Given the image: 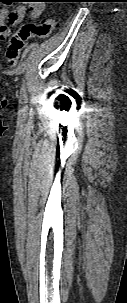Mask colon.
<instances>
[{
  "label": "colon",
  "instance_id": "colon-1",
  "mask_svg": "<svg viewBox=\"0 0 127 303\" xmlns=\"http://www.w3.org/2000/svg\"><path fill=\"white\" fill-rule=\"evenodd\" d=\"M57 24V18L50 16L41 23L26 22L9 37L6 58L9 64L17 63L26 42L31 38H45L49 36Z\"/></svg>",
  "mask_w": 127,
  "mask_h": 303
}]
</instances>
